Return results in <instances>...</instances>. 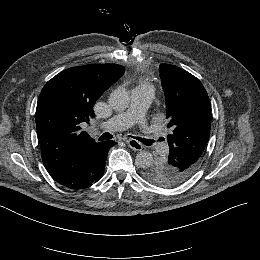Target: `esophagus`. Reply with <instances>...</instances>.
Returning <instances> with one entry per match:
<instances>
[{
	"label": "esophagus",
	"mask_w": 260,
	"mask_h": 260,
	"mask_svg": "<svg viewBox=\"0 0 260 260\" xmlns=\"http://www.w3.org/2000/svg\"><path fill=\"white\" fill-rule=\"evenodd\" d=\"M127 144L131 149L135 151H141L143 149L142 144L136 139H128Z\"/></svg>",
	"instance_id": "obj_1"
}]
</instances>
